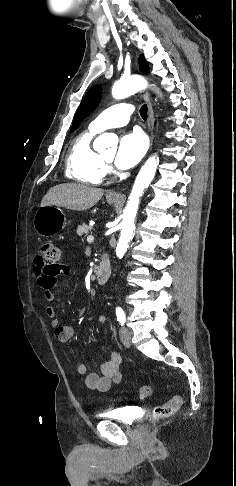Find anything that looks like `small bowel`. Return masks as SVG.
<instances>
[{
  "label": "small bowel",
  "instance_id": "1",
  "mask_svg": "<svg viewBox=\"0 0 236 486\" xmlns=\"http://www.w3.org/2000/svg\"><path fill=\"white\" fill-rule=\"evenodd\" d=\"M72 268L68 265L58 264L55 267L46 266L41 257H36L34 275L37 284L43 289L45 299L48 302L55 300L53 288L57 284V280L61 275L70 276ZM46 315L51 318V326L54 329V335L58 341L65 343L74 337L75 329L69 325H60L56 318L55 309L52 306H47L45 309ZM107 318L105 315H99L97 322L104 324ZM121 355L112 351L110 359L103 363L99 368V373H88L84 363L80 361L74 362V368L77 373L84 375V384L89 389L105 392L110 389L113 383L119 382L121 379Z\"/></svg>",
  "mask_w": 236,
  "mask_h": 486
}]
</instances>
